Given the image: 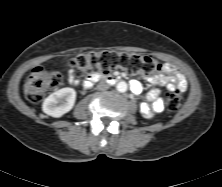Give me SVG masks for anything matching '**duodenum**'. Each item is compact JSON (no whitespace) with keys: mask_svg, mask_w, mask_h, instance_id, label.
I'll return each instance as SVG.
<instances>
[{"mask_svg":"<svg viewBox=\"0 0 222 187\" xmlns=\"http://www.w3.org/2000/svg\"><path fill=\"white\" fill-rule=\"evenodd\" d=\"M102 80L108 83H115L120 80L119 76L115 75H95L86 81V86H91L95 81Z\"/></svg>","mask_w":222,"mask_h":187,"instance_id":"1","label":"duodenum"}]
</instances>
